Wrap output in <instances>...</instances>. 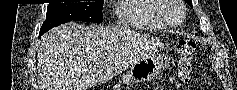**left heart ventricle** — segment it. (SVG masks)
<instances>
[{
    "label": "left heart ventricle",
    "instance_id": "1",
    "mask_svg": "<svg viewBox=\"0 0 237 90\" xmlns=\"http://www.w3.org/2000/svg\"><path fill=\"white\" fill-rule=\"evenodd\" d=\"M178 19V18H177ZM177 19H168L171 23H174L177 21Z\"/></svg>",
    "mask_w": 237,
    "mask_h": 90
}]
</instances>
